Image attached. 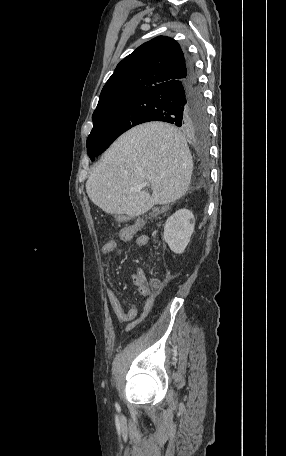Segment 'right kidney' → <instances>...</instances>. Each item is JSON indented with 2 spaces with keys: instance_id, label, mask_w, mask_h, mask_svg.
I'll return each mask as SVG.
<instances>
[{
  "instance_id": "right-kidney-1",
  "label": "right kidney",
  "mask_w": 286,
  "mask_h": 456,
  "mask_svg": "<svg viewBox=\"0 0 286 456\" xmlns=\"http://www.w3.org/2000/svg\"><path fill=\"white\" fill-rule=\"evenodd\" d=\"M194 226L193 213L187 209H180L166 220L163 239L174 253L181 254L190 242Z\"/></svg>"
}]
</instances>
